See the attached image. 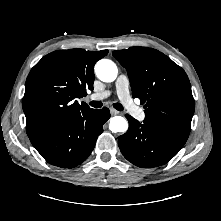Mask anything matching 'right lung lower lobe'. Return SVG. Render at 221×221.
<instances>
[{"label":"right lung lower lobe","mask_w":221,"mask_h":221,"mask_svg":"<svg viewBox=\"0 0 221 221\" xmlns=\"http://www.w3.org/2000/svg\"><path fill=\"white\" fill-rule=\"evenodd\" d=\"M110 118L109 109H87L64 124L29 136L32 145L50 164L73 168L88 158L103 124Z\"/></svg>","instance_id":"98d812e1"}]
</instances>
